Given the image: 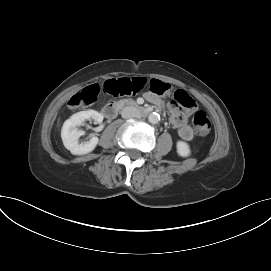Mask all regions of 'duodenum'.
Here are the masks:
<instances>
[{
	"instance_id": "1",
	"label": "duodenum",
	"mask_w": 271,
	"mask_h": 271,
	"mask_svg": "<svg viewBox=\"0 0 271 271\" xmlns=\"http://www.w3.org/2000/svg\"><path fill=\"white\" fill-rule=\"evenodd\" d=\"M125 105L134 106L137 112L141 114L142 116H146L151 113L150 109L133 105L130 102H109L108 104L104 106L102 113L106 118L112 119L117 115L118 111Z\"/></svg>"
}]
</instances>
